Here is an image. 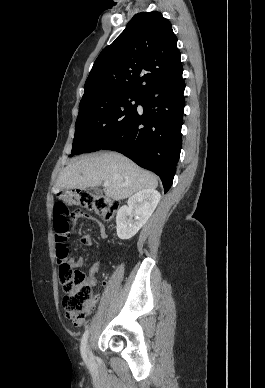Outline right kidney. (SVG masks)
<instances>
[{"instance_id":"obj_1","label":"right kidney","mask_w":265,"mask_h":388,"mask_svg":"<svg viewBox=\"0 0 265 388\" xmlns=\"http://www.w3.org/2000/svg\"><path fill=\"white\" fill-rule=\"evenodd\" d=\"M160 194L157 190H140L129 198L128 206H122L116 216L117 236L120 240H130L140 228L146 224L152 216L158 202Z\"/></svg>"}]
</instances>
